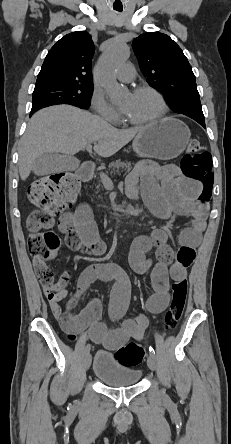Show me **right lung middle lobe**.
<instances>
[{
	"label": "right lung middle lobe",
	"mask_w": 231,
	"mask_h": 444,
	"mask_svg": "<svg viewBox=\"0 0 231 444\" xmlns=\"http://www.w3.org/2000/svg\"><path fill=\"white\" fill-rule=\"evenodd\" d=\"M92 92L93 85L59 83L35 86L31 111L57 104H71L87 109Z\"/></svg>",
	"instance_id": "dd1d6c3e"
}]
</instances>
